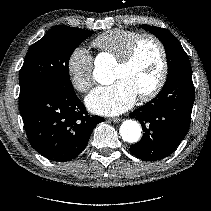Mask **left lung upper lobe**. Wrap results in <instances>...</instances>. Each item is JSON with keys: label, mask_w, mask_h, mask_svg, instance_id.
Instances as JSON below:
<instances>
[{"label": "left lung upper lobe", "mask_w": 211, "mask_h": 211, "mask_svg": "<svg viewBox=\"0 0 211 211\" xmlns=\"http://www.w3.org/2000/svg\"><path fill=\"white\" fill-rule=\"evenodd\" d=\"M141 27L156 35L165 46L168 63V76L177 70L191 68L188 55L172 33L164 28L150 25H142Z\"/></svg>", "instance_id": "5c2ea615"}]
</instances>
